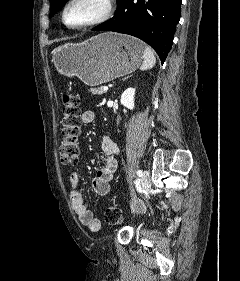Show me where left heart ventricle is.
<instances>
[{"instance_id":"1","label":"left heart ventricle","mask_w":240,"mask_h":281,"mask_svg":"<svg viewBox=\"0 0 240 281\" xmlns=\"http://www.w3.org/2000/svg\"><path fill=\"white\" fill-rule=\"evenodd\" d=\"M102 0H77L73 3L67 13L66 22L77 25L95 18L102 11Z\"/></svg>"}]
</instances>
